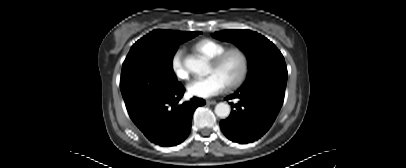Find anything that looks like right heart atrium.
Wrapping results in <instances>:
<instances>
[{
  "label": "right heart atrium",
  "mask_w": 406,
  "mask_h": 168,
  "mask_svg": "<svg viewBox=\"0 0 406 168\" xmlns=\"http://www.w3.org/2000/svg\"><path fill=\"white\" fill-rule=\"evenodd\" d=\"M170 66L178 79L186 80L188 78V70L185 64V50L183 48H179L173 53Z\"/></svg>",
  "instance_id": "obj_1"
}]
</instances>
